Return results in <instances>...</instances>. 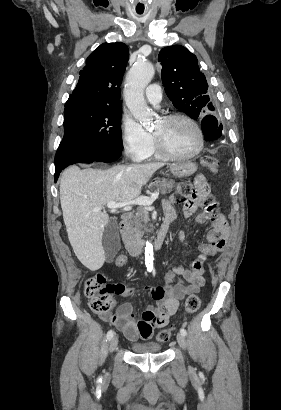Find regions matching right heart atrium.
Returning a JSON list of instances; mask_svg holds the SVG:
<instances>
[{
    "label": "right heart atrium",
    "instance_id": "d8ad5b80",
    "mask_svg": "<svg viewBox=\"0 0 281 410\" xmlns=\"http://www.w3.org/2000/svg\"><path fill=\"white\" fill-rule=\"evenodd\" d=\"M153 142L148 133L137 121L125 117L122 121V143L124 150L134 160L140 161L147 155Z\"/></svg>",
    "mask_w": 281,
    "mask_h": 410
}]
</instances>
